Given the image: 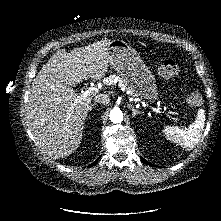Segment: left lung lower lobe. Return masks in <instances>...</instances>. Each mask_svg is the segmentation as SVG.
Masks as SVG:
<instances>
[{
	"instance_id": "left-lung-lower-lobe-1",
	"label": "left lung lower lobe",
	"mask_w": 221,
	"mask_h": 221,
	"mask_svg": "<svg viewBox=\"0 0 221 221\" xmlns=\"http://www.w3.org/2000/svg\"><path fill=\"white\" fill-rule=\"evenodd\" d=\"M141 160H142V162H144V163H146V164H148L150 166H153L151 163L147 162L144 158H141Z\"/></svg>"
}]
</instances>
